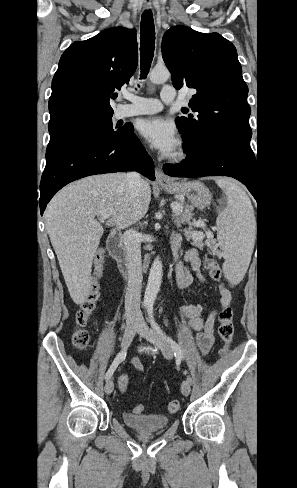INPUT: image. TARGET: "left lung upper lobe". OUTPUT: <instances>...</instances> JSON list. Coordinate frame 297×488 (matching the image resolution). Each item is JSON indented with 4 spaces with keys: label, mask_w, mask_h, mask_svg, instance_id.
<instances>
[{
    "label": "left lung upper lobe",
    "mask_w": 297,
    "mask_h": 488,
    "mask_svg": "<svg viewBox=\"0 0 297 488\" xmlns=\"http://www.w3.org/2000/svg\"><path fill=\"white\" fill-rule=\"evenodd\" d=\"M162 55L174 87L197 91L176 118L186 153L223 146L252 155L248 87L234 45L218 33L174 26L163 36Z\"/></svg>",
    "instance_id": "left-lung-upper-lobe-1"
}]
</instances>
